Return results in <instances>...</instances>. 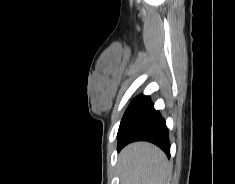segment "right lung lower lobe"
<instances>
[{"label": "right lung lower lobe", "instance_id": "1", "mask_svg": "<svg viewBox=\"0 0 235 184\" xmlns=\"http://www.w3.org/2000/svg\"><path fill=\"white\" fill-rule=\"evenodd\" d=\"M149 141L159 146L170 157L168 128L148 96H137L127 108L119 130L118 151L134 141Z\"/></svg>", "mask_w": 235, "mask_h": 184}]
</instances>
